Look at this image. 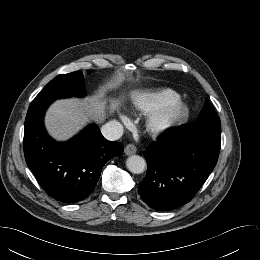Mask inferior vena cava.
<instances>
[{"mask_svg":"<svg viewBox=\"0 0 260 260\" xmlns=\"http://www.w3.org/2000/svg\"><path fill=\"white\" fill-rule=\"evenodd\" d=\"M123 132V125L116 120L107 122L101 128V133L103 134V136L110 141H115L119 139L123 135Z\"/></svg>","mask_w":260,"mask_h":260,"instance_id":"inferior-vena-cava-1","label":"inferior vena cava"}]
</instances>
